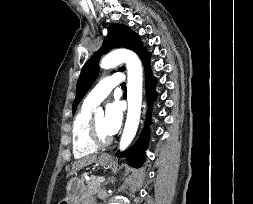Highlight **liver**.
Instances as JSON below:
<instances>
[{
	"instance_id": "6515ba94",
	"label": "liver",
	"mask_w": 253,
	"mask_h": 204,
	"mask_svg": "<svg viewBox=\"0 0 253 204\" xmlns=\"http://www.w3.org/2000/svg\"><path fill=\"white\" fill-rule=\"evenodd\" d=\"M97 160V156L96 155H90V156H86L82 159H79L77 161H75L72 164V170L70 174H74L76 171L82 169L83 167H86L92 163H94Z\"/></svg>"
}]
</instances>
